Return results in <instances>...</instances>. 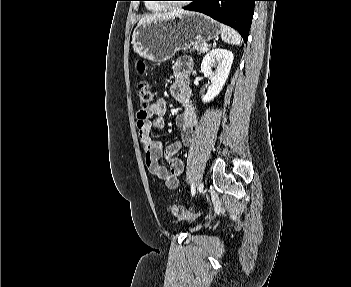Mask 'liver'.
<instances>
[{
	"instance_id": "1",
	"label": "liver",
	"mask_w": 351,
	"mask_h": 287,
	"mask_svg": "<svg viewBox=\"0 0 351 287\" xmlns=\"http://www.w3.org/2000/svg\"><path fill=\"white\" fill-rule=\"evenodd\" d=\"M189 11H184L183 9H178L173 12H166V13H159V14H152L143 17L140 21L139 24L145 23V22H150V21H155V20H160V19H168L176 16H182L189 14Z\"/></svg>"
}]
</instances>
